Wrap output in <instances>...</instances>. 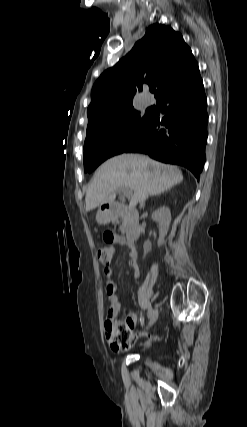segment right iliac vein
<instances>
[{
	"mask_svg": "<svg viewBox=\"0 0 247 427\" xmlns=\"http://www.w3.org/2000/svg\"><path fill=\"white\" fill-rule=\"evenodd\" d=\"M157 318H158V310L154 309L152 310V313L149 317V323H148L147 329H149L156 322Z\"/></svg>",
	"mask_w": 247,
	"mask_h": 427,
	"instance_id": "right-iliac-vein-1",
	"label": "right iliac vein"
}]
</instances>
